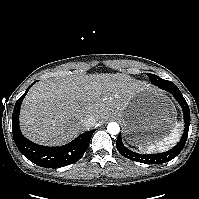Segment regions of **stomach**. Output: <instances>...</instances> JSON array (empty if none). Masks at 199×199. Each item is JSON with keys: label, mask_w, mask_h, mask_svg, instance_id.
Segmentation results:
<instances>
[{"label": "stomach", "mask_w": 199, "mask_h": 199, "mask_svg": "<svg viewBox=\"0 0 199 199\" xmlns=\"http://www.w3.org/2000/svg\"><path fill=\"white\" fill-rule=\"evenodd\" d=\"M113 115L124 125L126 140L131 145L162 136L174 119L164 98L147 90L136 93L124 109Z\"/></svg>", "instance_id": "obj_1"}]
</instances>
